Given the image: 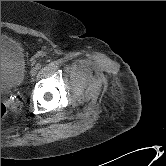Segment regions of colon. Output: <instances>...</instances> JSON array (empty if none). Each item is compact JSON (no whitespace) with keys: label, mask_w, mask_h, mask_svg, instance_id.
<instances>
[{"label":"colon","mask_w":166,"mask_h":166,"mask_svg":"<svg viewBox=\"0 0 166 166\" xmlns=\"http://www.w3.org/2000/svg\"><path fill=\"white\" fill-rule=\"evenodd\" d=\"M6 113H7V108H6V106L1 102V118H3Z\"/></svg>","instance_id":"1"}]
</instances>
